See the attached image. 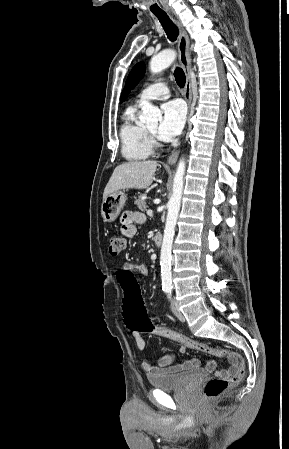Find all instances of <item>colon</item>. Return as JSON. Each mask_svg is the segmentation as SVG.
<instances>
[{
	"mask_svg": "<svg viewBox=\"0 0 289 449\" xmlns=\"http://www.w3.org/2000/svg\"><path fill=\"white\" fill-rule=\"evenodd\" d=\"M125 248L126 240L123 236L113 234L109 237V252L111 255H119ZM116 279L124 294L122 303L125 308V323L131 331L140 334H155L176 342H183L191 349L223 357L227 360L235 358L231 352L192 340L182 334L154 323L147 315L142 298L139 294L137 280L135 279L134 272L131 268H118ZM244 373V365L239 360L238 369L233 375L225 377L215 374L204 387L205 397L210 399L221 395L229 388L237 385L242 380Z\"/></svg>",
	"mask_w": 289,
	"mask_h": 449,
	"instance_id": "colon-1",
	"label": "colon"
}]
</instances>
